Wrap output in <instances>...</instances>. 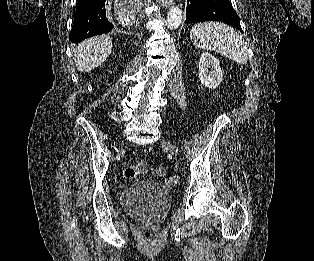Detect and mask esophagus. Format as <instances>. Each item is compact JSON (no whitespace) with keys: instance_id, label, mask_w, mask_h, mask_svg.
<instances>
[{"instance_id":"1","label":"esophagus","mask_w":314,"mask_h":261,"mask_svg":"<svg viewBox=\"0 0 314 261\" xmlns=\"http://www.w3.org/2000/svg\"><path fill=\"white\" fill-rule=\"evenodd\" d=\"M160 1H162L163 6H168L172 3V0H160Z\"/></svg>"}]
</instances>
